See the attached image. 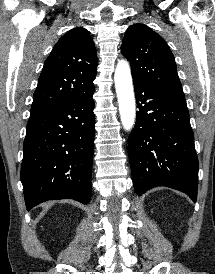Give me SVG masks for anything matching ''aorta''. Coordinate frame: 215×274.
<instances>
[{
	"mask_svg": "<svg viewBox=\"0 0 215 274\" xmlns=\"http://www.w3.org/2000/svg\"><path fill=\"white\" fill-rule=\"evenodd\" d=\"M114 80L121 122L125 130H130L134 125L136 112L130 66L127 61L118 62Z\"/></svg>",
	"mask_w": 215,
	"mask_h": 274,
	"instance_id": "1",
	"label": "aorta"
}]
</instances>
